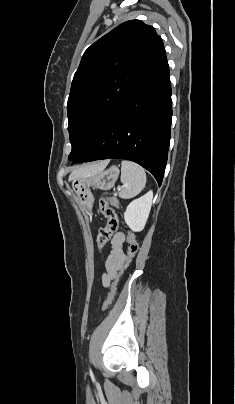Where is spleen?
I'll list each match as a JSON object with an SVG mask.
<instances>
[{
    "mask_svg": "<svg viewBox=\"0 0 235 404\" xmlns=\"http://www.w3.org/2000/svg\"><path fill=\"white\" fill-rule=\"evenodd\" d=\"M121 182L125 188L119 193V197L123 199L135 197L145 187V170L134 162L123 160L121 163Z\"/></svg>",
    "mask_w": 235,
    "mask_h": 404,
    "instance_id": "spleen-1",
    "label": "spleen"
}]
</instances>
